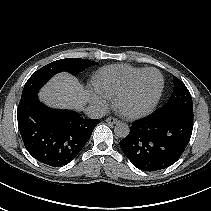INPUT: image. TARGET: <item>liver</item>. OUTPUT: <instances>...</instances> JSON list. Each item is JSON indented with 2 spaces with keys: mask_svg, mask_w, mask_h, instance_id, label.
Here are the masks:
<instances>
[{
  "mask_svg": "<svg viewBox=\"0 0 211 211\" xmlns=\"http://www.w3.org/2000/svg\"><path fill=\"white\" fill-rule=\"evenodd\" d=\"M82 85L66 73L58 74L41 90L40 98L46 104L69 109H82L88 100Z\"/></svg>",
  "mask_w": 211,
  "mask_h": 211,
  "instance_id": "1",
  "label": "liver"
}]
</instances>
